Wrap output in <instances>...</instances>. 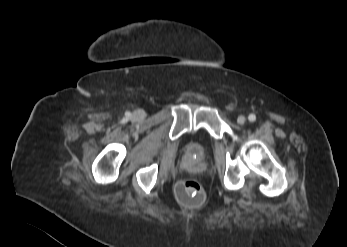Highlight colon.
<instances>
[{
    "label": "colon",
    "instance_id": "1",
    "mask_svg": "<svg viewBox=\"0 0 347 247\" xmlns=\"http://www.w3.org/2000/svg\"><path fill=\"white\" fill-rule=\"evenodd\" d=\"M178 197L185 205L197 207L204 202L205 191L199 181L186 179L179 184Z\"/></svg>",
    "mask_w": 347,
    "mask_h": 247
}]
</instances>
